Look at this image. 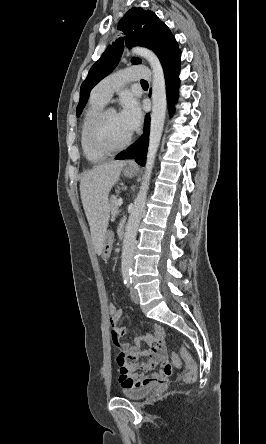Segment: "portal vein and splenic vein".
I'll return each instance as SVG.
<instances>
[{
  "mask_svg": "<svg viewBox=\"0 0 266 444\" xmlns=\"http://www.w3.org/2000/svg\"><path fill=\"white\" fill-rule=\"evenodd\" d=\"M118 204H119V206L122 205V198H120V199L118 200Z\"/></svg>",
  "mask_w": 266,
  "mask_h": 444,
  "instance_id": "1",
  "label": "portal vein and splenic vein"
}]
</instances>
